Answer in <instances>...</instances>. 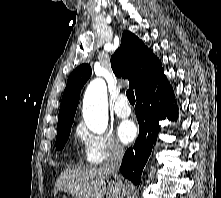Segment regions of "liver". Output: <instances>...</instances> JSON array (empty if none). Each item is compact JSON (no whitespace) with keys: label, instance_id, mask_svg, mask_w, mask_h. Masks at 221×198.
<instances>
[{"label":"liver","instance_id":"6515ba94","mask_svg":"<svg viewBox=\"0 0 221 198\" xmlns=\"http://www.w3.org/2000/svg\"><path fill=\"white\" fill-rule=\"evenodd\" d=\"M110 173L103 167L64 170L54 187V194L64 191L74 198H123L124 184L108 181Z\"/></svg>","mask_w":221,"mask_h":198}]
</instances>
